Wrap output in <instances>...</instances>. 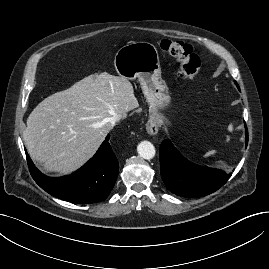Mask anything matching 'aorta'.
<instances>
[{"label":"aorta","instance_id":"aorta-1","mask_svg":"<svg viewBox=\"0 0 269 269\" xmlns=\"http://www.w3.org/2000/svg\"><path fill=\"white\" fill-rule=\"evenodd\" d=\"M137 152L140 157L150 160L155 156V147L149 141H142L137 146Z\"/></svg>","mask_w":269,"mask_h":269}]
</instances>
